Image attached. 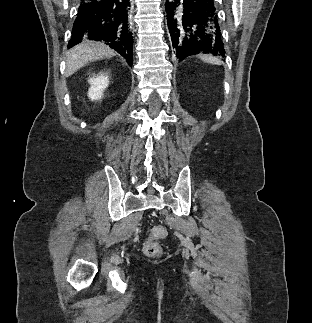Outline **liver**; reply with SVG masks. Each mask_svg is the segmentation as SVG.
Wrapping results in <instances>:
<instances>
[{
    "instance_id": "6515ba94",
    "label": "liver",
    "mask_w": 312,
    "mask_h": 323,
    "mask_svg": "<svg viewBox=\"0 0 312 323\" xmlns=\"http://www.w3.org/2000/svg\"><path fill=\"white\" fill-rule=\"evenodd\" d=\"M105 56H116L114 50L105 46V44H98V42H90V40H83L78 46L71 48L67 54L66 60V76H71L89 62H95L99 58Z\"/></svg>"
}]
</instances>
